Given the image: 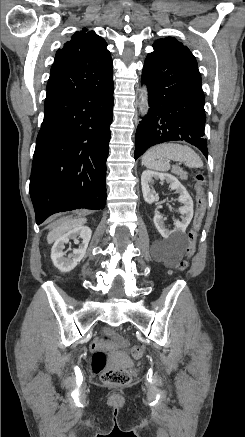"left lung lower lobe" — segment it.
Here are the masks:
<instances>
[{"label":"left lung lower lobe","mask_w":245,"mask_h":437,"mask_svg":"<svg viewBox=\"0 0 245 437\" xmlns=\"http://www.w3.org/2000/svg\"><path fill=\"white\" fill-rule=\"evenodd\" d=\"M153 47L142 71L150 108L137 127L135 160L148 148L167 141H186L207 157L204 94L197 62L170 47Z\"/></svg>","instance_id":"1"}]
</instances>
